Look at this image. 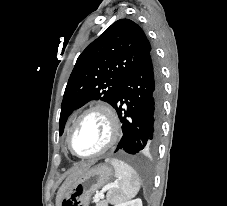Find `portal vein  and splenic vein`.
<instances>
[{
    "label": "portal vein and splenic vein",
    "mask_w": 227,
    "mask_h": 206,
    "mask_svg": "<svg viewBox=\"0 0 227 206\" xmlns=\"http://www.w3.org/2000/svg\"><path fill=\"white\" fill-rule=\"evenodd\" d=\"M117 185V183H112V184H109V185H107L105 188H104V191H106V190H108V189H110V188H113V187H115ZM97 199L98 198H104V194L103 193H99V194H96V196H95Z\"/></svg>",
    "instance_id": "18ae733b"
}]
</instances>
